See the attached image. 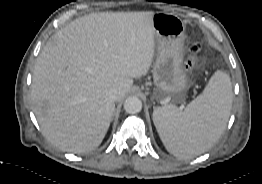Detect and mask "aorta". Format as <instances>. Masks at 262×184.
Here are the masks:
<instances>
[{
	"label": "aorta",
	"instance_id": "obj_1",
	"mask_svg": "<svg viewBox=\"0 0 262 184\" xmlns=\"http://www.w3.org/2000/svg\"><path fill=\"white\" fill-rule=\"evenodd\" d=\"M142 109V101L136 96H130L124 101V110L129 114H135Z\"/></svg>",
	"mask_w": 262,
	"mask_h": 184
}]
</instances>
